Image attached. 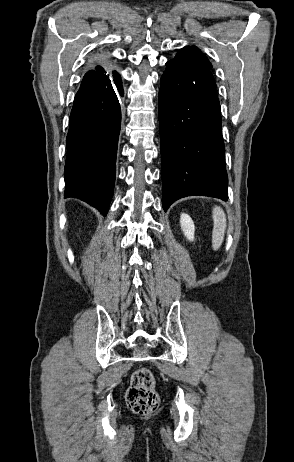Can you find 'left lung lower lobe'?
<instances>
[{
  "label": "left lung lower lobe",
  "instance_id": "0a47b994",
  "mask_svg": "<svg viewBox=\"0 0 294 462\" xmlns=\"http://www.w3.org/2000/svg\"><path fill=\"white\" fill-rule=\"evenodd\" d=\"M164 211L191 195L227 197L220 104L210 69L166 63L158 96Z\"/></svg>",
  "mask_w": 294,
  "mask_h": 462
}]
</instances>
